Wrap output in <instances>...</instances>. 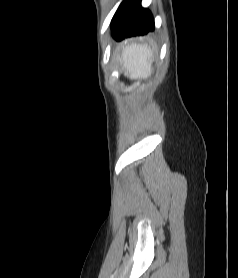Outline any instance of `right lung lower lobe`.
<instances>
[{
	"label": "right lung lower lobe",
	"instance_id": "obj_1",
	"mask_svg": "<svg viewBox=\"0 0 238 278\" xmlns=\"http://www.w3.org/2000/svg\"><path fill=\"white\" fill-rule=\"evenodd\" d=\"M112 36L116 40L144 35L154 30L153 16L141 7V0H124L112 22Z\"/></svg>",
	"mask_w": 238,
	"mask_h": 278
}]
</instances>
